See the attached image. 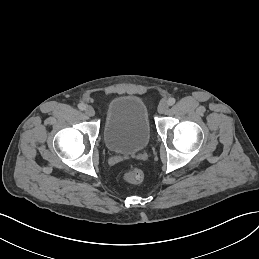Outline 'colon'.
Masks as SVG:
<instances>
[{"mask_svg": "<svg viewBox=\"0 0 259 259\" xmlns=\"http://www.w3.org/2000/svg\"><path fill=\"white\" fill-rule=\"evenodd\" d=\"M124 179L132 184L140 183L143 179V172L139 168H132L124 175Z\"/></svg>", "mask_w": 259, "mask_h": 259, "instance_id": "obj_1", "label": "colon"}]
</instances>
